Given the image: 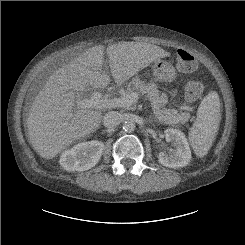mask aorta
<instances>
[{
	"label": "aorta",
	"mask_w": 245,
	"mask_h": 245,
	"mask_svg": "<svg viewBox=\"0 0 245 245\" xmlns=\"http://www.w3.org/2000/svg\"><path fill=\"white\" fill-rule=\"evenodd\" d=\"M135 128H136V125L133 121H125L123 123V129L125 132H128V133L133 132Z\"/></svg>",
	"instance_id": "762f6f07"
}]
</instances>
